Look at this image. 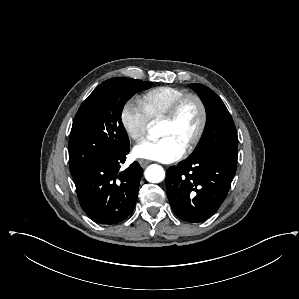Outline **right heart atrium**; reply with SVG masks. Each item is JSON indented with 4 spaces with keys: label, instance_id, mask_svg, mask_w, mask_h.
Masks as SVG:
<instances>
[{
    "label": "right heart atrium",
    "instance_id": "right-heart-atrium-1",
    "mask_svg": "<svg viewBox=\"0 0 299 299\" xmlns=\"http://www.w3.org/2000/svg\"><path fill=\"white\" fill-rule=\"evenodd\" d=\"M121 125L127 136L134 141L141 140L147 133L150 120L135 100H128L124 103L120 112Z\"/></svg>",
    "mask_w": 299,
    "mask_h": 299
}]
</instances>
